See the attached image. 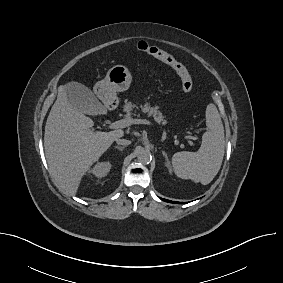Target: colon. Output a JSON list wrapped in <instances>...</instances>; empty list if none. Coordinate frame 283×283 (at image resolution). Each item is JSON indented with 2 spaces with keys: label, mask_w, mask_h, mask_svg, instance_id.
Listing matches in <instances>:
<instances>
[{
  "label": "colon",
  "mask_w": 283,
  "mask_h": 283,
  "mask_svg": "<svg viewBox=\"0 0 283 283\" xmlns=\"http://www.w3.org/2000/svg\"><path fill=\"white\" fill-rule=\"evenodd\" d=\"M135 47L137 50L146 53L169 66L179 77L182 90L185 93H191L193 91L194 83L189 71L172 54L161 47L150 44L146 41L137 42Z\"/></svg>",
  "instance_id": "1"
}]
</instances>
